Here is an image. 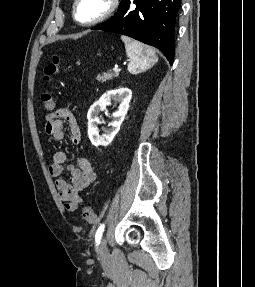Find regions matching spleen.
Wrapping results in <instances>:
<instances>
[{
    "instance_id": "obj_1",
    "label": "spleen",
    "mask_w": 255,
    "mask_h": 287,
    "mask_svg": "<svg viewBox=\"0 0 255 287\" xmlns=\"http://www.w3.org/2000/svg\"><path fill=\"white\" fill-rule=\"evenodd\" d=\"M122 42L125 44L126 54L130 58L128 64V70L130 74H136L140 70H145V68H150L152 64L157 62L158 58L155 56L150 46H145L141 42H136V40H131L127 36H121Z\"/></svg>"
}]
</instances>
